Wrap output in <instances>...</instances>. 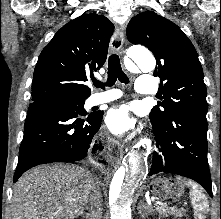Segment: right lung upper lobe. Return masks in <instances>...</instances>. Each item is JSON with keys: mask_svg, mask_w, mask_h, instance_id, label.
<instances>
[{"mask_svg": "<svg viewBox=\"0 0 221 219\" xmlns=\"http://www.w3.org/2000/svg\"><path fill=\"white\" fill-rule=\"evenodd\" d=\"M114 26L102 15H82L64 25L41 52L33 83V103L55 98L86 99L85 84L105 63Z\"/></svg>", "mask_w": 221, "mask_h": 219, "instance_id": "cb5924a9", "label": "right lung upper lobe"}]
</instances>
